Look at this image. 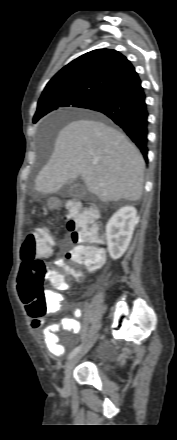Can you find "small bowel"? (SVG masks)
Returning <instances> with one entry per match:
<instances>
[{
  "instance_id": "obj_1",
  "label": "small bowel",
  "mask_w": 177,
  "mask_h": 440,
  "mask_svg": "<svg viewBox=\"0 0 177 440\" xmlns=\"http://www.w3.org/2000/svg\"><path fill=\"white\" fill-rule=\"evenodd\" d=\"M68 284L65 288L67 289ZM47 309L49 312H56L63 307V298L59 293L48 292L47 293ZM82 315V310L79 307L73 308L71 310V316H65L61 318L58 322L46 325V319L43 317L32 319V327L34 329H41L42 339L48 348V350L55 356L63 355L65 352V347L60 343V339L57 332L60 330H65L71 332L72 334H79L81 331V323L79 318Z\"/></svg>"
}]
</instances>
